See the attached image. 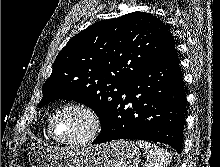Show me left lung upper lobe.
Wrapping results in <instances>:
<instances>
[{
    "mask_svg": "<svg viewBox=\"0 0 220 167\" xmlns=\"http://www.w3.org/2000/svg\"><path fill=\"white\" fill-rule=\"evenodd\" d=\"M174 50L170 29L150 13L97 22L59 52L38 107L74 100L94 110L102 128L128 81Z\"/></svg>",
    "mask_w": 220,
    "mask_h": 167,
    "instance_id": "1",
    "label": "left lung upper lobe"
}]
</instances>
